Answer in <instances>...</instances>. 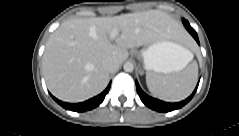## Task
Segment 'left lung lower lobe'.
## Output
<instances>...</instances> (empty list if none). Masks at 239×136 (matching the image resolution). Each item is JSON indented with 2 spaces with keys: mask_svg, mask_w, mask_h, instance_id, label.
Returning <instances> with one entry per match:
<instances>
[{
  "mask_svg": "<svg viewBox=\"0 0 239 136\" xmlns=\"http://www.w3.org/2000/svg\"><path fill=\"white\" fill-rule=\"evenodd\" d=\"M182 22H183L184 26L186 27V29L188 30V32L194 37V39L199 44V39H198L197 33L190 26L189 22L185 19H183ZM197 87H198V85H197ZM197 87L195 88L194 92L186 100H183L178 103H168V102H163L161 100H158V99L148 96L146 93H144L142 91L138 82L136 81L137 93H138L140 99L142 100V102L149 108H151L155 111H159V112H170L172 110H176V109L183 107L185 104H187L192 99V97L194 96V94L197 90Z\"/></svg>",
  "mask_w": 239,
  "mask_h": 136,
  "instance_id": "1",
  "label": "left lung lower lobe"
}]
</instances>
